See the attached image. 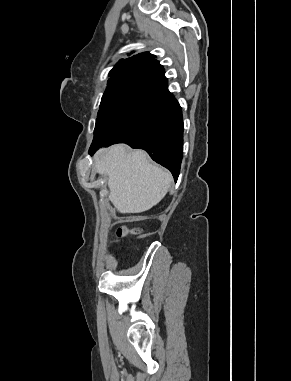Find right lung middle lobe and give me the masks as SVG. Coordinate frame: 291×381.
I'll return each instance as SVG.
<instances>
[{"label":"right lung middle lobe","instance_id":"right-lung-middle-lobe-1","mask_svg":"<svg viewBox=\"0 0 291 381\" xmlns=\"http://www.w3.org/2000/svg\"><path fill=\"white\" fill-rule=\"evenodd\" d=\"M141 77H134L107 88L100 104L92 144L115 141L120 136V124L134 97Z\"/></svg>","mask_w":291,"mask_h":381}]
</instances>
